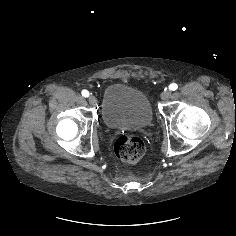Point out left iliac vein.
Listing matches in <instances>:
<instances>
[{
	"label": "left iliac vein",
	"instance_id": "obj_1",
	"mask_svg": "<svg viewBox=\"0 0 236 236\" xmlns=\"http://www.w3.org/2000/svg\"><path fill=\"white\" fill-rule=\"evenodd\" d=\"M172 92L170 90H165L162 94H161V99L162 100H167L170 98Z\"/></svg>",
	"mask_w": 236,
	"mask_h": 236
}]
</instances>
